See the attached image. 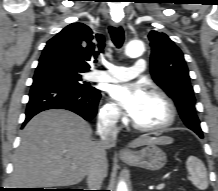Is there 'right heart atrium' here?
<instances>
[{
    "instance_id": "d8ad5b80",
    "label": "right heart atrium",
    "mask_w": 218,
    "mask_h": 191,
    "mask_svg": "<svg viewBox=\"0 0 218 191\" xmlns=\"http://www.w3.org/2000/svg\"><path fill=\"white\" fill-rule=\"evenodd\" d=\"M100 120L108 126L116 127L124 122V115L113 102H107L100 110Z\"/></svg>"
}]
</instances>
